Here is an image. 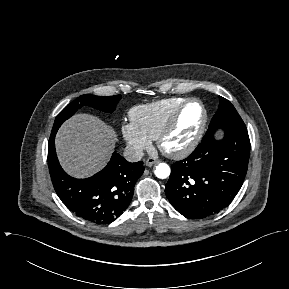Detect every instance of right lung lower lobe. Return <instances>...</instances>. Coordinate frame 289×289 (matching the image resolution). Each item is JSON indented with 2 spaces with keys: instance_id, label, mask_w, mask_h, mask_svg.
Wrapping results in <instances>:
<instances>
[{
  "instance_id": "98d812e1",
  "label": "right lung lower lobe",
  "mask_w": 289,
  "mask_h": 289,
  "mask_svg": "<svg viewBox=\"0 0 289 289\" xmlns=\"http://www.w3.org/2000/svg\"><path fill=\"white\" fill-rule=\"evenodd\" d=\"M55 135L48 144V166L54 189L65 206L77 216L109 224L129 205L137 179L143 174V162L130 163L113 153L107 166L87 179H75L61 168L55 151Z\"/></svg>"
}]
</instances>
